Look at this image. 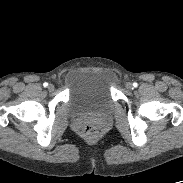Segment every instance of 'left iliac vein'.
<instances>
[{
  "label": "left iliac vein",
  "mask_w": 183,
  "mask_h": 183,
  "mask_svg": "<svg viewBox=\"0 0 183 183\" xmlns=\"http://www.w3.org/2000/svg\"><path fill=\"white\" fill-rule=\"evenodd\" d=\"M126 89L131 90L133 88V84L131 82H127L125 84Z\"/></svg>",
  "instance_id": "4c4485c4"
}]
</instances>
